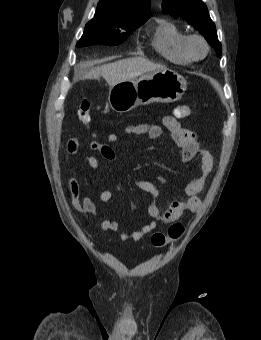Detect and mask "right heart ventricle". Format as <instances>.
<instances>
[{"label": "right heart ventricle", "instance_id": "1", "mask_svg": "<svg viewBox=\"0 0 261 340\" xmlns=\"http://www.w3.org/2000/svg\"><path fill=\"white\" fill-rule=\"evenodd\" d=\"M186 37L187 33L179 25L164 20L155 28L152 46L166 60L179 65H188L193 59L185 50Z\"/></svg>", "mask_w": 261, "mask_h": 340}]
</instances>
